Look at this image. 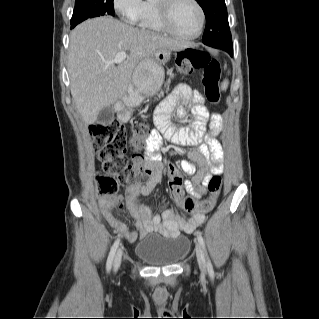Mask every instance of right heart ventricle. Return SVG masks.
I'll return each mask as SVG.
<instances>
[{
  "label": "right heart ventricle",
  "mask_w": 319,
  "mask_h": 319,
  "mask_svg": "<svg viewBox=\"0 0 319 319\" xmlns=\"http://www.w3.org/2000/svg\"><path fill=\"white\" fill-rule=\"evenodd\" d=\"M137 23L141 28L149 31H164L159 18L156 0H146L143 2L142 10Z\"/></svg>",
  "instance_id": "1"
}]
</instances>
